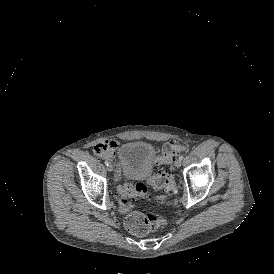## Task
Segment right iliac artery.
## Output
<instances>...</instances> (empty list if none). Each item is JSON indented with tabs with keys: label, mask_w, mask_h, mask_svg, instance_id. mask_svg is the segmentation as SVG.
<instances>
[{
	"label": "right iliac artery",
	"mask_w": 274,
	"mask_h": 274,
	"mask_svg": "<svg viewBox=\"0 0 274 274\" xmlns=\"http://www.w3.org/2000/svg\"><path fill=\"white\" fill-rule=\"evenodd\" d=\"M105 165L108 166V165H109V162H108V161H105Z\"/></svg>",
	"instance_id": "obj_1"
}]
</instances>
